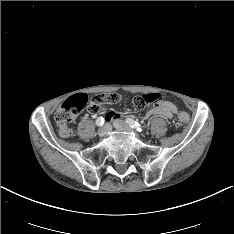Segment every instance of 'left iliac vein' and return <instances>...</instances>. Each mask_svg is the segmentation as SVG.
<instances>
[{"mask_svg":"<svg viewBox=\"0 0 234 234\" xmlns=\"http://www.w3.org/2000/svg\"><path fill=\"white\" fill-rule=\"evenodd\" d=\"M113 125L119 131L132 132V129L128 126V124H126L122 120H119V119L114 120Z\"/></svg>","mask_w":234,"mask_h":234,"instance_id":"left-iliac-vein-1","label":"left iliac vein"}]
</instances>
